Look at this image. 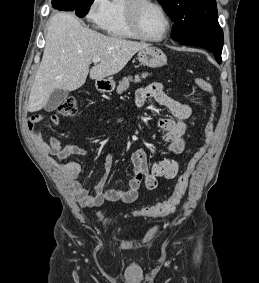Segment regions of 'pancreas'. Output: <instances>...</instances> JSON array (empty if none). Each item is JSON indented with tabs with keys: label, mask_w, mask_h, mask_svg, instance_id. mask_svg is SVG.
Instances as JSON below:
<instances>
[{
	"label": "pancreas",
	"mask_w": 259,
	"mask_h": 283,
	"mask_svg": "<svg viewBox=\"0 0 259 283\" xmlns=\"http://www.w3.org/2000/svg\"><path fill=\"white\" fill-rule=\"evenodd\" d=\"M148 76V73H143L141 76L139 75H135L134 79L133 77L129 76V77H124L122 79V81L119 82V85L117 87V93L121 94L124 91H126L130 85V81H133L135 83L141 82V79H144Z\"/></svg>",
	"instance_id": "1"
}]
</instances>
